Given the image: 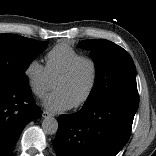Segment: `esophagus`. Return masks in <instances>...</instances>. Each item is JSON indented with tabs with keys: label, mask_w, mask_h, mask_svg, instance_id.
<instances>
[{
	"label": "esophagus",
	"mask_w": 156,
	"mask_h": 156,
	"mask_svg": "<svg viewBox=\"0 0 156 156\" xmlns=\"http://www.w3.org/2000/svg\"><path fill=\"white\" fill-rule=\"evenodd\" d=\"M51 116H52V114L49 113L48 111H43V113H42L43 118H48V117H51Z\"/></svg>",
	"instance_id": "34e87169"
}]
</instances>
